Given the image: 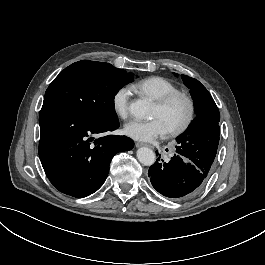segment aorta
Segmentation results:
<instances>
[{
	"label": "aorta",
	"instance_id": "1",
	"mask_svg": "<svg viewBox=\"0 0 265 265\" xmlns=\"http://www.w3.org/2000/svg\"><path fill=\"white\" fill-rule=\"evenodd\" d=\"M130 115L137 119H148L151 116L152 109L147 100H137L130 102L128 106ZM137 158L144 166H152L156 161L155 153L149 148H140L137 151Z\"/></svg>",
	"mask_w": 265,
	"mask_h": 265
}]
</instances>
